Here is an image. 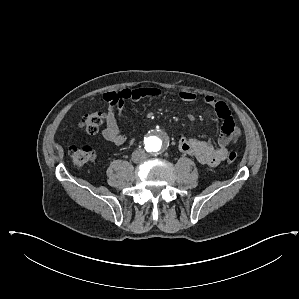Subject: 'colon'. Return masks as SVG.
Wrapping results in <instances>:
<instances>
[{
	"label": "colon",
	"instance_id": "1",
	"mask_svg": "<svg viewBox=\"0 0 299 299\" xmlns=\"http://www.w3.org/2000/svg\"><path fill=\"white\" fill-rule=\"evenodd\" d=\"M102 122V115L98 112H91L83 117L81 120V127L90 134L98 133L99 126ZM72 162L76 167H82L94 160L95 154L93 149L88 145L71 146L69 149ZM237 158L235 152H230L227 157L229 163H233Z\"/></svg>",
	"mask_w": 299,
	"mask_h": 299
}]
</instances>
